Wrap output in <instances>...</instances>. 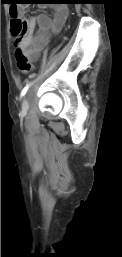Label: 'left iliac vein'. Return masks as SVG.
<instances>
[{"label":"left iliac vein","instance_id":"left-iliac-vein-1","mask_svg":"<svg viewBox=\"0 0 122 257\" xmlns=\"http://www.w3.org/2000/svg\"><path fill=\"white\" fill-rule=\"evenodd\" d=\"M28 109H29V101L27 97H25L22 101V112L27 113Z\"/></svg>","mask_w":122,"mask_h":257}]
</instances>
